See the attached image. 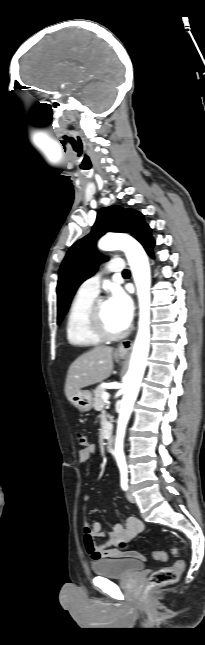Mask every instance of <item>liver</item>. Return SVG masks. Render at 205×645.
Returning <instances> with one entry per match:
<instances>
[{"mask_svg":"<svg viewBox=\"0 0 205 645\" xmlns=\"http://www.w3.org/2000/svg\"><path fill=\"white\" fill-rule=\"evenodd\" d=\"M113 348L96 346L79 356L69 367L65 395L67 399L81 390L107 379L113 370Z\"/></svg>","mask_w":205,"mask_h":645,"instance_id":"obj_1","label":"liver"}]
</instances>
